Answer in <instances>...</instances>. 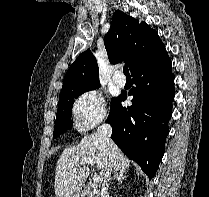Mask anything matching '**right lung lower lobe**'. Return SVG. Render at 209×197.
<instances>
[{"instance_id":"1","label":"right lung lower lobe","mask_w":209,"mask_h":197,"mask_svg":"<svg viewBox=\"0 0 209 197\" xmlns=\"http://www.w3.org/2000/svg\"><path fill=\"white\" fill-rule=\"evenodd\" d=\"M166 50L131 74L136 87L132 106L123 107L121 93L111 103L106 120L112 140L130 159L137 162L149 179L155 175L165 152L168 121L174 98V75Z\"/></svg>"}]
</instances>
